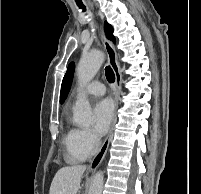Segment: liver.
<instances>
[{
    "label": "liver",
    "mask_w": 201,
    "mask_h": 194,
    "mask_svg": "<svg viewBox=\"0 0 201 194\" xmlns=\"http://www.w3.org/2000/svg\"><path fill=\"white\" fill-rule=\"evenodd\" d=\"M85 170V165L67 166L59 169L52 180L49 194H77Z\"/></svg>",
    "instance_id": "liver-1"
}]
</instances>
